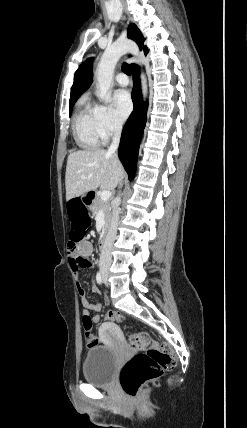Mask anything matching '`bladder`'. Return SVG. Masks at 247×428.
<instances>
[{
  "instance_id": "obj_1",
  "label": "bladder",
  "mask_w": 247,
  "mask_h": 428,
  "mask_svg": "<svg viewBox=\"0 0 247 428\" xmlns=\"http://www.w3.org/2000/svg\"><path fill=\"white\" fill-rule=\"evenodd\" d=\"M118 368L116 351L107 346H94L87 351L83 363L85 380L95 386H109Z\"/></svg>"
}]
</instances>
